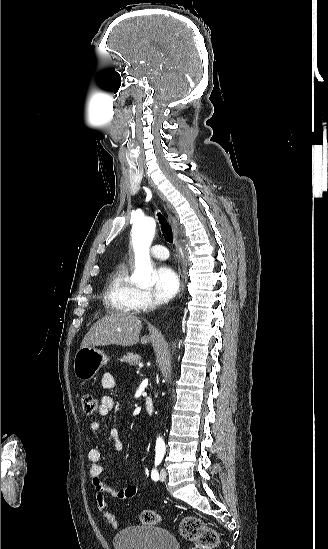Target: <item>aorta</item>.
<instances>
[{
    "instance_id": "obj_1",
    "label": "aorta",
    "mask_w": 328,
    "mask_h": 549,
    "mask_svg": "<svg viewBox=\"0 0 328 549\" xmlns=\"http://www.w3.org/2000/svg\"><path fill=\"white\" fill-rule=\"evenodd\" d=\"M155 228V220L152 217H145L136 220L131 231L135 254V271L131 279L142 287L154 284L149 248L154 237ZM165 449V442L161 437H158L156 440V450L165 451Z\"/></svg>"
}]
</instances>
